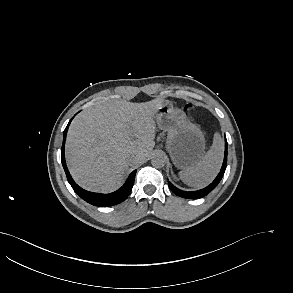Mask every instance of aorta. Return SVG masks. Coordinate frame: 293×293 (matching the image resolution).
Instances as JSON below:
<instances>
[{"instance_id": "1", "label": "aorta", "mask_w": 293, "mask_h": 293, "mask_svg": "<svg viewBox=\"0 0 293 293\" xmlns=\"http://www.w3.org/2000/svg\"><path fill=\"white\" fill-rule=\"evenodd\" d=\"M151 163L154 167L161 168L166 164V157L162 154H155L152 157Z\"/></svg>"}]
</instances>
